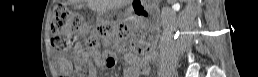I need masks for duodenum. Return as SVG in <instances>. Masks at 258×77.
Instances as JSON below:
<instances>
[{
    "mask_svg": "<svg viewBox=\"0 0 258 77\" xmlns=\"http://www.w3.org/2000/svg\"><path fill=\"white\" fill-rule=\"evenodd\" d=\"M139 2V1H137ZM131 12L136 15L137 17L141 18L143 17V14L144 15H147L146 11H145V8L141 7V6H137V5H134L132 8H131Z\"/></svg>",
    "mask_w": 258,
    "mask_h": 77,
    "instance_id": "duodenum-1",
    "label": "duodenum"
}]
</instances>
